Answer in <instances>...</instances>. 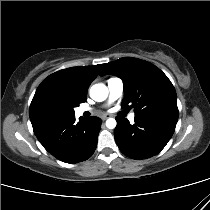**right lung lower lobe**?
<instances>
[{
    "label": "right lung lower lobe",
    "mask_w": 210,
    "mask_h": 210,
    "mask_svg": "<svg viewBox=\"0 0 210 210\" xmlns=\"http://www.w3.org/2000/svg\"><path fill=\"white\" fill-rule=\"evenodd\" d=\"M101 119L98 117L75 120V115L61 122L34 132L43 147L65 163L87 160L97 146Z\"/></svg>",
    "instance_id": "obj_1"
}]
</instances>
